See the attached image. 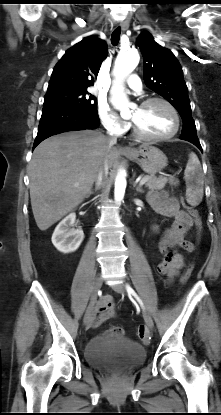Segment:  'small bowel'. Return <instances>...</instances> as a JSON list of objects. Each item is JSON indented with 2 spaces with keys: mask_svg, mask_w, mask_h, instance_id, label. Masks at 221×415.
Segmentation results:
<instances>
[{
  "mask_svg": "<svg viewBox=\"0 0 221 415\" xmlns=\"http://www.w3.org/2000/svg\"><path fill=\"white\" fill-rule=\"evenodd\" d=\"M148 203L156 212L174 218V223L165 231L159 242V250L164 258L157 264V271L171 280L186 264V259L180 250L192 252L194 249L193 243L186 239L193 219L190 214L180 209L177 198L165 191L150 193ZM97 311L99 316L94 323L96 326L114 317L116 311L112 297L109 295L103 297L98 303Z\"/></svg>",
  "mask_w": 221,
  "mask_h": 415,
  "instance_id": "small-bowel-1",
  "label": "small bowel"
}]
</instances>
